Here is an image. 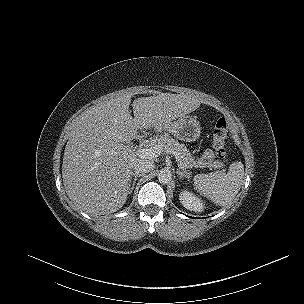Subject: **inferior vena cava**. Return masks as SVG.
I'll use <instances>...</instances> for the list:
<instances>
[{"mask_svg": "<svg viewBox=\"0 0 304 304\" xmlns=\"http://www.w3.org/2000/svg\"><path fill=\"white\" fill-rule=\"evenodd\" d=\"M154 162L147 158H138L133 163V170L137 174H145L154 169Z\"/></svg>", "mask_w": 304, "mask_h": 304, "instance_id": "1", "label": "inferior vena cava"}]
</instances>
